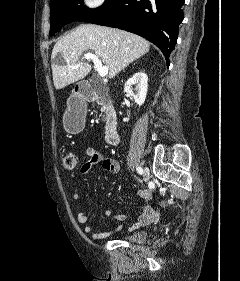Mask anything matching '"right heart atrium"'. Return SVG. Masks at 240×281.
<instances>
[{
  "mask_svg": "<svg viewBox=\"0 0 240 281\" xmlns=\"http://www.w3.org/2000/svg\"><path fill=\"white\" fill-rule=\"evenodd\" d=\"M106 3V0H82V7L88 12L100 10Z\"/></svg>",
  "mask_w": 240,
  "mask_h": 281,
  "instance_id": "obj_1",
  "label": "right heart atrium"
}]
</instances>
